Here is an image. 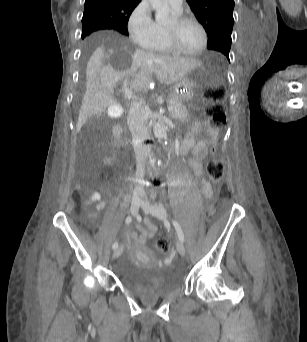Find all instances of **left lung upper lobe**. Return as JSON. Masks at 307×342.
I'll return each instance as SVG.
<instances>
[{"label":"left lung upper lobe","mask_w":307,"mask_h":342,"mask_svg":"<svg viewBox=\"0 0 307 342\" xmlns=\"http://www.w3.org/2000/svg\"><path fill=\"white\" fill-rule=\"evenodd\" d=\"M208 34L207 48L223 53L229 60L234 24V0H187Z\"/></svg>","instance_id":"obj_1"}]
</instances>
